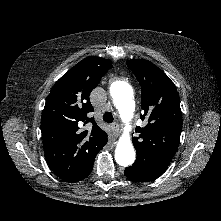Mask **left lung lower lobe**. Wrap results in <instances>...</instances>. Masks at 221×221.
Segmentation results:
<instances>
[{"mask_svg": "<svg viewBox=\"0 0 221 221\" xmlns=\"http://www.w3.org/2000/svg\"><path fill=\"white\" fill-rule=\"evenodd\" d=\"M167 168H157V169H144L135 166H130L125 168L124 174L127 178L138 181V182H148L160 177Z\"/></svg>", "mask_w": 221, "mask_h": 221, "instance_id": "left-lung-lower-lobe-1", "label": "left lung lower lobe"}]
</instances>
